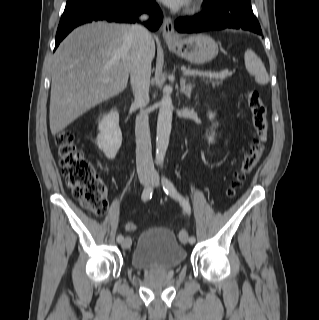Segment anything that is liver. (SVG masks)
<instances>
[{
    "label": "liver",
    "mask_w": 319,
    "mask_h": 320,
    "mask_svg": "<svg viewBox=\"0 0 319 320\" xmlns=\"http://www.w3.org/2000/svg\"><path fill=\"white\" fill-rule=\"evenodd\" d=\"M130 25L106 21L74 29L51 65L50 130L56 135L82 114L124 91L131 66ZM150 55L155 56L152 39Z\"/></svg>",
    "instance_id": "1"
}]
</instances>
